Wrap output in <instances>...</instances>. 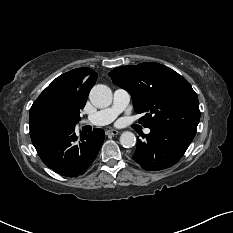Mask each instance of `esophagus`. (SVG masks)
Listing matches in <instances>:
<instances>
[{
  "instance_id": "1",
  "label": "esophagus",
  "mask_w": 233,
  "mask_h": 233,
  "mask_svg": "<svg viewBox=\"0 0 233 233\" xmlns=\"http://www.w3.org/2000/svg\"><path fill=\"white\" fill-rule=\"evenodd\" d=\"M118 134H119V132L115 129H110L106 132V135H108V136H116Z\"/></svg>"
}]
</instances>
